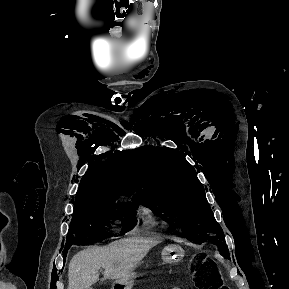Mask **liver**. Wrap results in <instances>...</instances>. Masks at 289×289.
<instances>
[{
    "mask_svg": "<svg viewBox=\"0 0 289 289\" xmlns=\"http://www.w3.org/2000/svg\"><path fill=\"white\" fill-rule=\"evenodd\" d=\"M158 240L124 238L102 248H89L73 256L69 263L68 289H92L99 281L100 268L104 279H119L131 273Z\"/></svg>",
    "mask_w": 289,
    "mask_h": 289,
    "instance_id": "6515ba94",
    "label": "liver"
}]
</instances>
